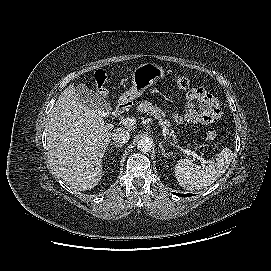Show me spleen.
I'll return each instance as SVG.
<instances>
[{
    "mask_svg": "<svg viewBox=\"0 0 271 271\" xmlns=\"http://www.w3.org/2000/svg\"><path fill=\"white\" fill-rule=\"evenodd\" d=\"M233 153L231 149L225 148L216 160L207 166H198L189 159L180 160L175 166V177L179 185L186 190H201L213 184L228 169Z\"/></svg>",
    "mask_w": 271,
    "mask_h": 271,
    "instance_id": "spleen-1",
    "label": "spleen"
}]
</instances>
